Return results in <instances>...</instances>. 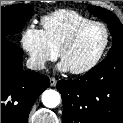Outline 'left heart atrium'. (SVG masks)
Masks as SVG:
<instances>
[{"instance_id": "obj_1", "label": "left heart atrium", "mask_w": 123, "mask_h": 123, "mask_svg": "<svg viewBox=\"0 0 123 123\" xmlns=\"http://www.w3.org/2000/svg\"><path fill=\"white\" fill-rule=\"evenodd\" d=\"M58 69L61 70V71H68V70H70L69 67L66 65V63L63 62V61L58 65Z\"/></svg>"}]
</instances>
